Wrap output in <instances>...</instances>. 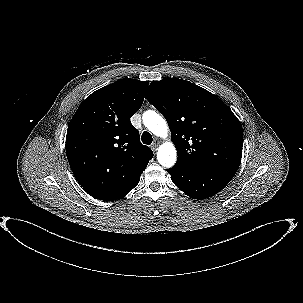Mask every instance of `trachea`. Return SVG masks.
<instances>
[{
  "mask_svg": "<svg viewBox=\"0 0 303 303\" xmlns=\"http://www.w3.org/2000/svg\"><path fill=\"white\" fill-rule=\"evenodd\" d=\"M141 140L144 144L150 145L153 141V138L149 132L145 131V132H143V134L141 136Z\"/></svg>",
  "mask_w": 303,
  "mask_h": 303,
  "instance_id": "obj_1",
  "label": "trachea"
}]
</instances>
